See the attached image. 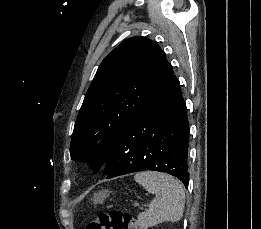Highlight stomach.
Wrapping results in <instances>:
<instances>
[{
	"instance_id": "obj_1",
	"label": "stomach",
	"mask_w": 261,
	"mask_h": 229,
	"mask_svg": "<svg viewBox=\"0 0 261 229\" xmlns=\"http://www.w3.org/2000/svg\"><path fill=\"white\" fill-rule=\"evenodd\" d=\"M108 195V191H99V193H95L94 199L95 201H104Z\"/></svg>"
}]
</instances>
